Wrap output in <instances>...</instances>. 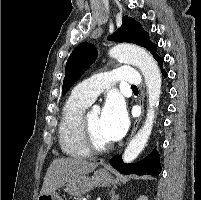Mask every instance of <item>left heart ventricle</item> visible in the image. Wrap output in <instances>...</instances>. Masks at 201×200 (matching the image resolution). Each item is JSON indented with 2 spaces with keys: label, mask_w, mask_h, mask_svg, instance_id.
Wrapping results in <instances>:
<instances>
[{
  "label": "left heart ventricle",
  "mask_w": 201,
  "mask_h": 200,
  "mask_svg": "<svg viewBox=\"0 0 201 200\" xmlns=\"http://www.w3.org/2000/svg\"><path fill=\"white\" fill-rule=\"evenodd\" d=\"M87 123L89 125L91 135L97 144L105 145L110 143L103 132L100 113L89 114L87 116Z\"/></svg>",
  "instance_id": "1"
}]
</instances>
